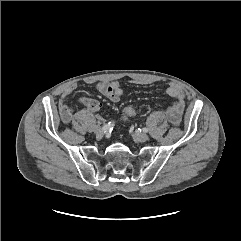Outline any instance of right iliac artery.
<instances>
[{"instance_id":"82829eb1","label":"right iliac artery","mask_w":241,"mask_h":241,"mask_svg":"<svg viewBox=\"0 0 241 241\" xmlns=\"http://www.w3.org/2000/svg\"><path fill=\"white\" fill-rule=\"evenodd\" d=\"M113 126L114 122H108L102 127V129L104 130V132L111 131L113 129Z\"/></svg>"}]
</instances>
